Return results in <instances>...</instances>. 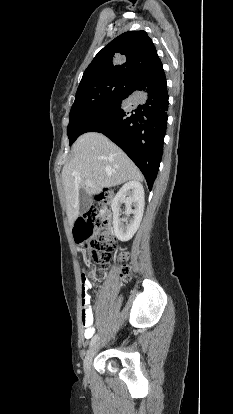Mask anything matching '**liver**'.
I'll return each instance as SVG.
<instances>
[{
    "instance_id": "obj_1",
    "label": "liver",
    "mask_w": 233,
    "mask_h": 414,
    "mask_svg": "<svg viewBox=\"0 0 233 414\" xmlns=\"http://www.w3.org/2000/svg\"><path fill=\"white\" fill-rule=\"evenodd\" d=\"M72 159L62 169L68 221L79 216V196L83 188L90 196L104 188L143 177L131 159L106 136L97 132L81 135L72 146Z\"/></svg>"
}]
</instances>
